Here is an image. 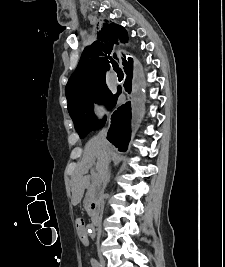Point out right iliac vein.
I'll list each match as a JSON object with an SVG mask.
<instances>
[{"label": "right iliac vein", "instance_id": "right-iliac-vein-1", "mask_svg": "<svg viewBox=\"0 0 225 267\" xmlns=\"http://www.w3.org/2000/svg\"><path fill=\"white\" fill-rule=\"evenodd\" d=\"M99 264H100V267H106V261L104 257H102L101 255H99Z\"/></svg>", "mask_w": 225, "mask_h": 267}]
</instances>
